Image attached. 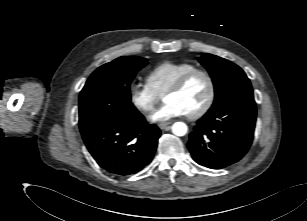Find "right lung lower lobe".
Wrapping results in <instances>:
<instances>
[{"label": "right lung lower lobe", "instance_id": "98d812e1", "mask_svg": "<svg viewBox=\"0 0 307 221\" xmlns=\"http://www.w3.org/2000/svg\"><path fill=\"white\" fill-rule=\"evenodd\" d=\"M160 130L138 111L122 119L95 123L82 138L99 166L116 176H127L147 166L155 153Z\"/></svg>", "mask_w": 307, "mask_h": 221}]
</instances>
